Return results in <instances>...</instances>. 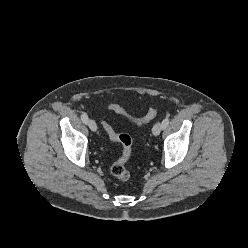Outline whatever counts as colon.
Returning <instances> with one entry per match:
<instances>
[{
	"label": "colon",
	"mask_w": 248,
	"mask_h": 248,
	"mask_svg": "<svg viewBox=\"0 0 248 248\" xmlns=\"http://www.w3.org/2000/svg\"><path fill=\"white\" fill-rule=\"evenodd\" d=\"M107 107L110 111L129 119L138 126L149 123L158 114V110L156 108H150L143 117L136 118L131 116L126 111V109L119 104L110 103ZM102 127L112 140L119 142L122 146V153L120 157L112 164L111 173L117 179L121 181H127L130 178V173L126 168V164L132 155V137L127 133H117L106 121H102Z\"/></svg>",
	"instance_id": "5ec220e1"
}]
</instances>
